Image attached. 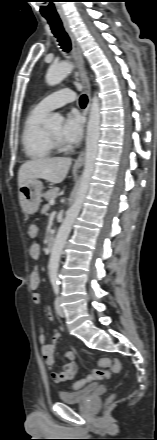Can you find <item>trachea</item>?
<instances>
[{
  "mask_svg": "<svg viewBox=\"0 0 157 440\" xmlns=\"http://www.w3.org/2000/svg\"><path fill=\"white\" fill-rule=\"evenodd\" d=\"M54 36L57 38L59 45L64 52H69L71 50L70 38L65 32L62 22L59 18H46ZM88 99L86 95L80 97V106L84 108L87 105Z\"/></svg>",
  "mask_w": 157,
  "mask_h": 440,
  "instance_id": "1",
  "label": "trachea"
}]
</instances>
